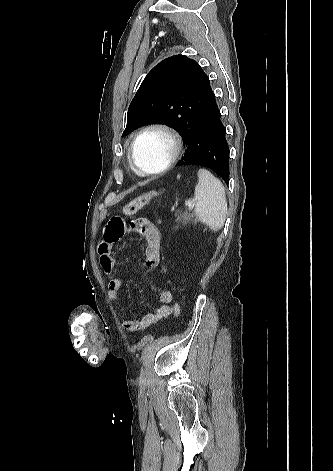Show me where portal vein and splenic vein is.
<instances>
[{
	"label": "portal vein and splenic vein",
	"mask_w": 333,
	"mask_h": 471,
	"mask_svg": "<svg viewBox=\"0 0 333 471\" xmlns=\"http://www.w3.org/2000/svg\"><path fill=\"white\" fill-rule=\"evenodd\" d=\"M185 205H186L188 208H193V206H194V201H192V200H190V199H189V200H186V201H185Z\"/></svg>",
	"instance_id": "portal-vein-and-splenic-vein-1"
}]
</instances>
